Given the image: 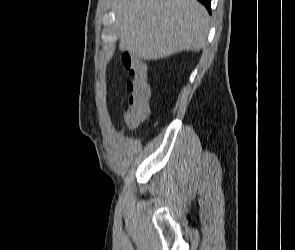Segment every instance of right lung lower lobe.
Listing matches in <instances>:
<instances>
[{
  "instance_id": "right-lung-lower-lobe-1",
  "label": "right lung lower lobe",
  "mask_w": 295,
  "mask_h": 250,
  "mask_svg": "<svg viewBox=\"0 0 295 250\" xmlns=\"http://www.w3.org/2000/svg\"><path fill=\"white\" fill-rule=\"evenodd\" d=\"M202 4L205 5V7L208 9L209 12H211V0H198Z\"/></svg>"
}]
</instances>
